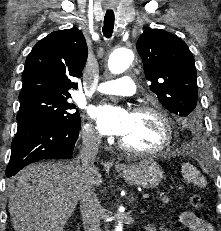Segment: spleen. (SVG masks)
Listing matches in <instances>:
<instances>
[{
    "instance_id": "spleen-1",
    "label": "spleen",
    "mask_w": 221,
    "mask_h": 231,
    "mask_svg": "<svg viewBox=\"0 0 221 231\" xmlns=\"http://www.w3.org/2000/svg\"><path fill=\"white\" fill-rule=\"evenodd\" d=\"M182 174L184 179L188 182H192L195 185L201 187H204L206 185L204 177H202L197 168L191 165L190 163H184L182 165Z\"/></svg>"
}]
</instances>
